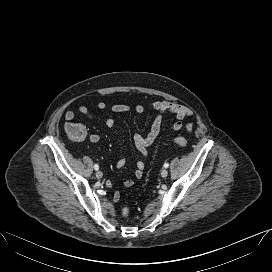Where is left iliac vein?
I'll use <instances>...</instances> for the list:
<instances>
[{
    "label": "left iliac vein",
    "mask_w": 272,
    "mask_h": 272,
    "mask_svg": "<svg viewBox=\"0 0 272 272\" xmlns=\"http://www.w3.org/2000/svg\"><path fill=\"white\" fill-rule=\"evenodd\" d=\"M167 175H168L167 169H163V170L161 171V176H162V177H166Z\"/></svg>",
    "instance_id": "left-iliac-vein-1"
}]
</instances>
